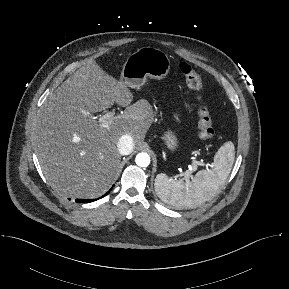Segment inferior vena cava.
Wrapping results in <instances>:
<instances>
[{"label": "inferior vena cava", "instance_id": "1", "mask_svg": "<svg viewBox=\"0 0 289 289\" xmlns=\"http://www.w3.org/2000/svg\"><path fill=\"white\" fill-rule=\"evenodd\" d=\"M117 146L121 155H128L133 151V138L128 134L122 135Z\"/></svg>", "mask_w": 289, "mask_h": 289}]
</instances>
